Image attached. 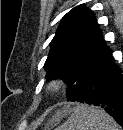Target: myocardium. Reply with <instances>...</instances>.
I'll list each match as a JSON object with an SVG mask.
<instances>
[{
	"mask_svg": "<svg viewBox=\"0 0 123 130\" xmlns=\"http://www.w3.org/2000/svg\"><path fill=\"white\" fill-rule=\"evenodd\" d=\"M63 87V81L61 80H54L49 83V90L52 92H58Z\"/></svg>",
	"mask_w": 123,
	"mask_h": 130,
	"instance_id": "f54148a6",
	"label": "myocardium"
}]
</instances>
